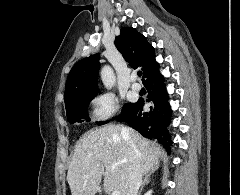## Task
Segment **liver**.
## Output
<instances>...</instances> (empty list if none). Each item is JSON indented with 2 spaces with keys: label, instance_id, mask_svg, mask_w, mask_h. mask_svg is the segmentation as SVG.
<instances>
[{
  "label": "liver",
  "instance_id": "liver-1",
  "mask_svg": "<svg viewBox=\"0 0 240 195\" xmlns=\"http://www.w3.org/2000/svg\"><path fill=\"white\" fill-rule=\"evenodd\" d=\"M121 129L123 125L109 123L82 135L67 171L72 195H95L102 175L104 191H120L121 195H127L130 141L137 147L142 173L157 169L158 159L164 153L159 143L146 139L132 127H125L129 135H122Z\"/></svg>",
  "mask_w": 240,
  "mask_h": 195
}]
</instances>
